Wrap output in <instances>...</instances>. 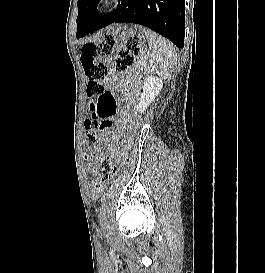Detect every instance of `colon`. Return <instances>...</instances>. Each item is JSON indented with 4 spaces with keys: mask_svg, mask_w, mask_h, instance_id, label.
I'll use <instances>...</instances> for the list:
<instances>
[{
    "mask_svg": "<svg viewBox=\"0 0 265 273\" xmlns=\"http://www.w3.org/2000/svg\"><path fill=\"white\" fill-rule=\"evenodd\" d=\"M139 51V41L136 36L127 37L125 44L117 50L115 36L108 34L99 44H88L82 48L81 61L88 79L87 95L89 97L85 129L91 140L89 146L95 147L90 156L94 160L93 172L99 179L94 187V194L102 190L103 184L114 171L110 157L104 152H110L109 127L117 113L116 100L103 85L108 69L101 58L116 53V68L119 72H123L134 64Z\"/></svg>",
    "mask_w": 265,
    "mask_h": 273,
    "instance_id": "5ec220e1",
    "label": "colon"
}]
</instances>
